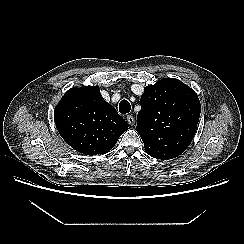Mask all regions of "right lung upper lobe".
<instances>
[{"instance_id": "obj_1", "label": "right lung upper lobe", "mask_w": 244, "mask_h": 244, "mask_svg": "<svg viewBox=\"0 0 244 244\" xmlns=\"http://www.w3.org/2000/svg\"><path fill=\"white\" fill-rule=\"evenodd\" d=\"M54 120L66 143L90 156L110 151L129 127L98 86L70 89L56 106Z\"/></svg>"}]
</instances>
